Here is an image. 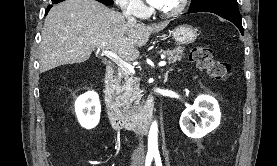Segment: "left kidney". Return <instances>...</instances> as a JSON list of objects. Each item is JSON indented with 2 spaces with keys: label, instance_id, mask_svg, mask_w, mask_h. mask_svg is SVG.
I'll return each instance as SVG.
<instances>
[{
  "label": "left kidney",
  "instance_id": "1",
  "mask_svg": "<svg viewBox=\"0 0 277 166\" xmlns=\"http://www.w3.org/2000/svg\"><path fill=\"white\" fill-rule=\"evenodd\" d=\"M198 114L201 121L195 126L190 123ZM221 119V112L217 100L209 95H199L194 104L185 109L180 117L181 130L191 138H202L215 130Z\"/></svg>",
  "mask_w": 277,
  "mask_h": 166
}]
</instances>
